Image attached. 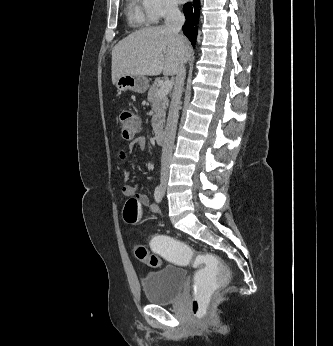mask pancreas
Wrapping results in <instances>:
<instances>
[{
  "mask_svg": "<svg viewBox=\"0 0 333 346\" xmlns=\"http://www.w3.org/2000/svg\"><path fill=\"white\" fill-rule=\"evenodd\" d=\"M159 82L156 81L150 86L148 91V101L151 103L152 115V128L155 133L160 131L165 122L166 110L168 107V98L166 96H159Z\"/></svg>",
  "mask_w": 333,
  "mask_h": 346,
  "instance_id": "1",
  "label": "pancreas"
}]
</instances>
